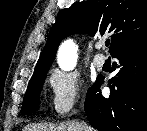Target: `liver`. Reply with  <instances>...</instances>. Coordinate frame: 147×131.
Listing matches in <instances>:
<instances>
[{
    "label": "liver",
    "mask_w": 147,
    "mask_h": 131,
    "mask_svg": "<svg viewBox=\"0 0 147 131\" xmlns=\"http://www.w3.org/2000/svg\"><path fill=\"white\" fill-rule=\"evenodd\" d=\"M23 131H83L81 123L66 122L58 125L48 123L28 124ZM92 131V130H90Z\"/></svg>",
    "instance_id": "1"
}]
</instances>
